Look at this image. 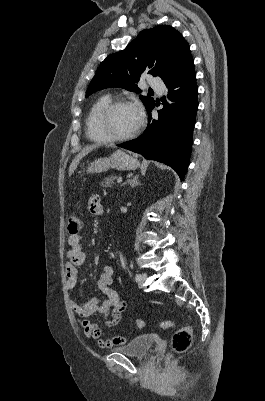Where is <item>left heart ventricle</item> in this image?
<instances>
[{"label": "left heart ventricle", "mask_w": 265, "mask_h": 401, "mask_svg": "<svg viewBox=\"0 0 265 401\" xmlns=\"http://www.w3.org/2000/svg\"><path fill=\"white\" fill-rule=\"evenodd\" d=\"M138 118L132 105L116 107L105 119L106 132L112 136H121L131 132L137 125Z\"/></svg>", "instance_id": "left-heart-ventricle-1"}]
</instances>
